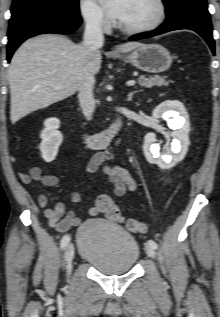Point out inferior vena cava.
I'll use <instances>...</instances> for the list:
<instances>
[{
    "mask_svg": "<svg viewBox=\"0 0 220 317\" xmlns=\"http://www.w3.org/2000/svg\"><path fill=\"white\" fill-rule=\"evenodd\" d=\"M104 36L101 28V18L91 16L86 20L85 32L83 36V45L89 57L103 46ZM95 77L90 71V66L79 86L78 99L82 112L87 120L92 119L95 110V98L93 88Z\"/></svg>",
    "mask_w": 220,
    "mask_h": 317,
    "instance_id": "602c4592",
    "label": "inferior vena cava"
}]
</instances>
